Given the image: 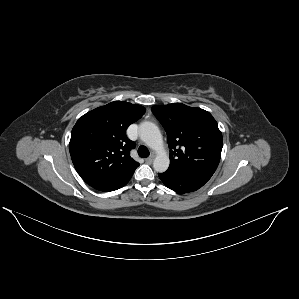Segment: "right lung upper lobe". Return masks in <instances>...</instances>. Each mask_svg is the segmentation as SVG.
I'll list each match as a JSON object with an SVG mask.
<instances>
[{"mask_svg":"<svg viewBox=\"0 0 299 299\" xmlns=\"http://www.w3.org/2000/svg\"><path fill=\"white\" fill-rule=\"evenodd\" d=\"M145 108L124 101L98 107L78 119L71 132L70 155L76 171L90 186L125 179L139 163L130 156L134 142L126 136L128 126Z\"/></svg>","mask_w":299,"mask_h":299,"instance_id":"right-lung-upper-lobe-1","label":"right lung upper lobe"}]
</instances>
